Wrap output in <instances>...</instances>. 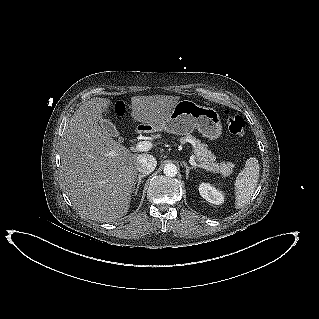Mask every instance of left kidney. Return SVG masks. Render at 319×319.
<instances>
[{"instance_id":"left-kidney-1","label":"left kidney","mask_w":319,"mask_h":319,"mask_svg":"<svg viewBox=\"0 0 319 319\" xmlns=\"http://www.w3.org/2000/svg\"><path fill=\"white\" fill-rule=\"evenodd\" d=\"M199 193L206 201L215 205H220L224 201L222 193L208 183L200 184Z\"/></svg>"}]
</instances>
